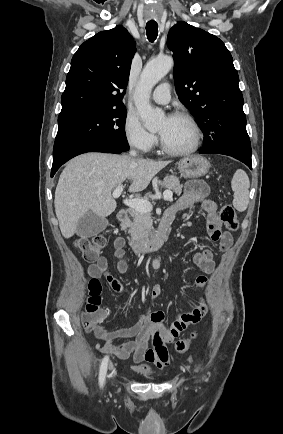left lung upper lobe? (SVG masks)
Listing matches in <instances>:
<instances>
[{
	"label": "left lung upper lobe",
	"mask_w": 283,
	"mask_h": 434,
	"mask_svg": "<svg viewBox=\"0 0 283 434\" xmlns=\"http://www.w3.org/2000/svg\"><path fill=\"white\" fill-rule=\"evenodd\" d=\"M173 51L179 100L204 134L203 150L234 158L251 157L238 73L225 44L216 36L180 21L167 36Z\"/></svg>",
	"instance_id": "1"
}]
</instances>
